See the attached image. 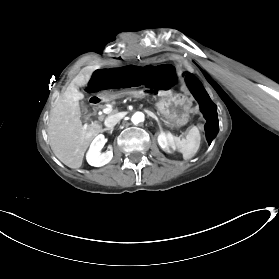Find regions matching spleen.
Masks as SVG:
<instances>
[{"label":"spleen","instance_id":"1","mask_svg":"<svg viewBox=\"0 0 279 279\" xmlns=\"http://www.w3.org/2000/svg\"><path fill=\"white\" fill-rule=\"evenodd\" d=\"M174 146L183 154L185 160L191 159L200 146V133L198 132V129L193 127L189 131L186 139L180 140L179 138H175Z\"/></svg>","mask_w":279,"mask_h":279}]
</instances>
